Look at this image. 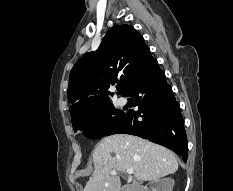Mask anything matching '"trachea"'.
Instances as JSON below:
<instances>
[{
    "instance_id": "3493384b",
    "label": "trachea",
    "mask_w": 233,
    "mask_h": 191,
    "mask_svg": "<svg viewBox=\"0 0 233 191\" xmlns=\"http://www.w3.org/2000/svg\"><path fill=\"white\" fill-rule=\"evenodd\" d=\"M117 89H120V85L117 86Z\"/></svg>"
}]
</instances>
